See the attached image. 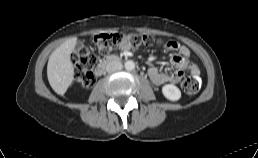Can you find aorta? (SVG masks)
<instances>
[{
    "label": "aorta",
    "mask_w": 258,
    "mask_h": 158,
    "mask_svg": "<svg viewBox=\"0 0 258 158\" xmlns=\"http://www.w3.org/2000/svg\"><path fill=\"white\" fill-rule=\"evenodd\" d=\"M124 66L126 70L131 71L135 68V63L132 60H128L125 62Z\"/></svg>",
    "instance_id": "762f6f07"
}]
</instances>
